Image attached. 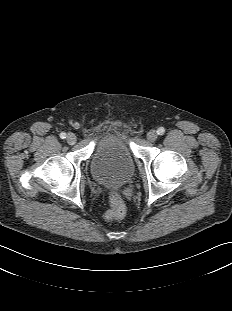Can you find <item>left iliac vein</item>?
<instances>
[{"instance_id": "1", "label": "left iliac vein", "mask_w": 232, "mask_h": 311, "mask_svg": "<svg viewBox=\"0 0 232 311\" xmlns=\"http://www.w3.org/2000/svg\"><path fill=\"white\" fill-rule=\"evenodd\" d=\"M158 138V133L155 130H150L147 134V139L150 142H155Z\"/></svg>"}]
</instances>
